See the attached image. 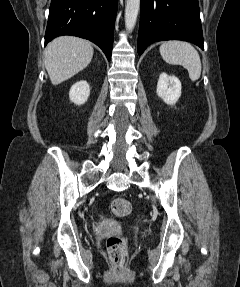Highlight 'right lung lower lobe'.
Returning a JSON list of instances; mask_svg holds the SVG:
<instances>
[{
    "instance_id": "98d812e1",
    "label": "right lung lower lobe",
    "mask_w": 240,
    "mask_h": 287,
    "mask_svg": "<svg viewBox=\"0 0 240 287\" xmlns=\"http://www.w3.org/2000/svg\"><path fill=\"white\" fill-rule=\"evenodd\" d=\"M118 0H52L45 45L61 35H74L98 45L111 59Z\"/></svg>"
}]
</instances>
